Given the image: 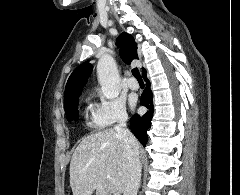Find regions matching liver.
I'll use <instances>...</instances> for the list:
<instances>
[{"label": "liver", "instance_id": "liver-1", "mask_svg": "<svg viewBox=\"0 0 240 195\" xmlns=\"http://www.w3.org/2000/svg\"><path fill=\"white\" fill-rule=\"evenodd\" d=\"M139 153V151H138ZM73 195L123 193L129 177L128 149L115 129L90 133L79 141L70 161Z\"/></svg>", "mask_w": 240, "mask_h": 195}]
</instances>
